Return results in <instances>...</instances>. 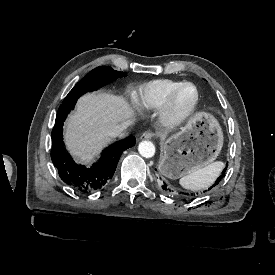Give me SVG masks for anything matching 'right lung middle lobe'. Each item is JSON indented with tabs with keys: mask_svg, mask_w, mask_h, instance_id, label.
<instances>
[{
	"mask_svg": "<svg viewBox=\"0 0 275 275\" xmlns=\"http://www.w3.org/2000/svg\"><path fill=\"white\" fill-rule=\"evenodd\" d=\"M126 76L124 72L113 70L109 66H101L93 69L78 82L65 97L63 103L76 102L86 92L97 90L116 80L118 77Z\"/></svg>",
	"mask_w": 275,
	"mask_h": 275,
	"instance_id": "dd1d6c3e",
	"label": "right lung middle lobe"
}]
</instances>
